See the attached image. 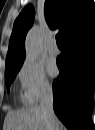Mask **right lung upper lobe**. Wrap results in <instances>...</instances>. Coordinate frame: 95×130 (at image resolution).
<instances>
[{
  "mask_svg": "<svg viewBox=\"0 0 95 130\" xmlns=\"http://www.w3.org/2000/svg\"><path fill=\"white\" fill-rule=\"evenodd\" d=\"M45 18L51 29L58 28L66 41L95 25L93 0H45ZM34 10L27 6L14 22L9 41L5 70L21 67L24 62V42L32 26Z\"/></svg>",
  "mask_w": 95,
  "mask_h": 130,
  "instance_id": "obj_1",
  "label": "right lung upper lobe"
}]
</instances>
